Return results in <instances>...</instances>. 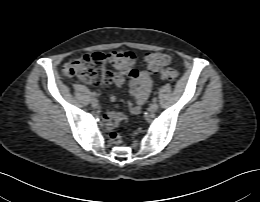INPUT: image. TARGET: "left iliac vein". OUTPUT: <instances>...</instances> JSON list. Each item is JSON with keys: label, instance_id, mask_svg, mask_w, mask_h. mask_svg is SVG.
I'll use <instances>...</instances> for the list:
<instances>
[{"label": "left iliac vein", "instance_id": "1", "mask_svg": "<svg viewBox=\"0 0 260 202\" xmlns=\"http://www.w3.org/2000/svg\"><path fill=\"white\" fill-rule=\"evenodd\" d=\"M151 113H155L158 110V104L156 102H153L150 104L149 109Z\"/></svg>", "mask_w": 260, "mask_h": 202}]
</instances>
